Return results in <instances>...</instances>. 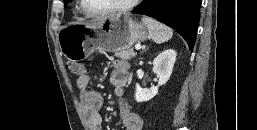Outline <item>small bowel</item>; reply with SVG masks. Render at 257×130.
<instances>
[{
    "instance_id": "c3829d8e",
    "label": "small bowel",
    "mask_w": 257,
    "mask_h": 130,
    "mask_svg": "<svg viewBox=\"0 0 257 130\" xmlns=\"http://www.w3.org/2000/svg\"><path fill=\"white\" fill-rule=\"evenodd\" d=\"M128 79V62L125 60L116 61L110 76V82L115 95L119 97L118 109L123 128L124 130H142V118L133 112L128 102L122 98ZM89 84L90 78L86 74L77 79L82 112L90 130H103V120L100 113L103 106V96L98 91L90 89Z\"/></svg>"
}]
</instances>
